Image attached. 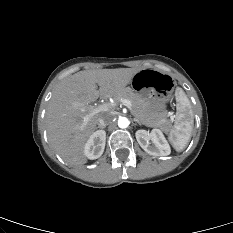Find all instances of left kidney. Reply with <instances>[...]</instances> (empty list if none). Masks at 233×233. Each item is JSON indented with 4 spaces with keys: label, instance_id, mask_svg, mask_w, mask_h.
Returning a JSON list of instances; mask_svg holds the SVG:
<instances>
[{
    "label": "left kidney",
    "instance_id": "obj_1",
    "mask_svg": "<svg viewBox=\"0 0 233 233\" xmlns=\"http://www.w3.org/2000/svg\"><path fill=\"white\" fill-rule=\"evenodd\" d=\"M136 139L141 148L153 156H167L171 153L170 146L160 129L136 131ZM152 142V143H151Z\"/></svg>",
    "mask_w": 233,
    "mask_h": 233
}]
</instances>
